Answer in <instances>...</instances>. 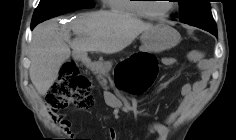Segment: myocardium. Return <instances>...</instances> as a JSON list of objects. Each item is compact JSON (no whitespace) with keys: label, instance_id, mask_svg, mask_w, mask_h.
I'll use <instances>...</instances> for the list:
<instances>
[{"label":"myocardium","instance_id":"obj_1","mask_svg":"<svg viewBox=\"0 0 236 140\" xmlns=\"http://www.w3.org/2000/svg\"><path fill=\"white\" fill-rule=\"evenodd\" d=\"M142 1H146V0H142ZM171 1H173V0H171ZM139 6H140V9H141V12H142L143 16L148 17L150 19H156V20L163 19V18L167 17L176 8L175 3L171 2V7L167 11H165L163 13H153L149 9L148 4L142 2L141 4H139Z\"/></svg>","mask_w":236,"mask_h":140}]
</instances>
